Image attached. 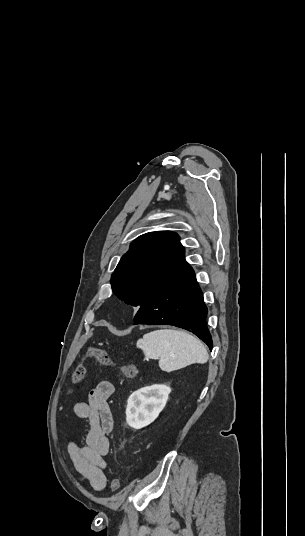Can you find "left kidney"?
I'll list each match as a JSON object with an SVG mask.
<instances>
[{
  "mask_svg": "<svg viewBox=\"0 0 305 536\" xmlns=\"http://www.w3.org/2000/svg\"><path fill=\"white\" fill-rule=\"evenodd\" d=\"M170 392L171 388L164 384H154L133 392L127 400V424L135 430L149 426L165 408Z\"/></svg>",
  "mask_w": 305,
  "mask_h": 536,
  "instance_id": "left-kidney-1",
  "label": "left kidney"
}]
</instances>
